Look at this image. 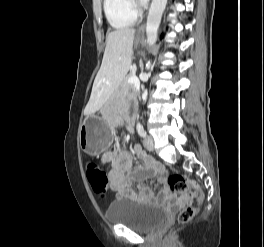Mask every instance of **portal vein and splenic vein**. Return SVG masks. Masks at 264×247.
<instances>
[{
	"instance_id": "obj_1",
	"label": "portal vein and splenic vein",
	"mask_w": 264,
	"mask_h": 247,
	"mask_svg": "<svg viewBox=\"0 0 264 247\" xmlns=\"http://www.w3.org/2000/svg\"><path fill=\"white\" fill-rule=\"evenodd\" d=\"M127 82L128 83H137L138 82V78L135 75H133V76H131V77H129L127 79Z\"/></svg>"
}]
</instances>
